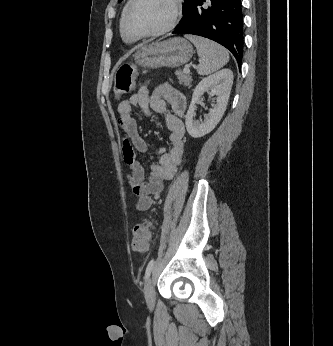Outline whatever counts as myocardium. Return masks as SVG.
Wrapping results in <instances>:
<instances>
[{
    "instance_id": "obj_1",
    "label": "myocardium",
    "mask_w": 333,
    "mask_h": 346,
    "mask_svg": "<svg viewBox=\"0 0 333 346\" xmlns=\"http://www.w3.org/2000/svg\"><path fill=\"white\" fill-rule=\"evenodd\" d=\"M138 2L139 0H131L122 22L123 33L129 39L158 37V36L164 35L170 32L171 30H173L180 21V18L182 15V0H171L172 6H173V16L170 23L167 26H165L164 28L158 31L149 32V33L133 32L130 30L128 26V21L134 7L136 6Z\"/></svg>"
}]
</instances>
